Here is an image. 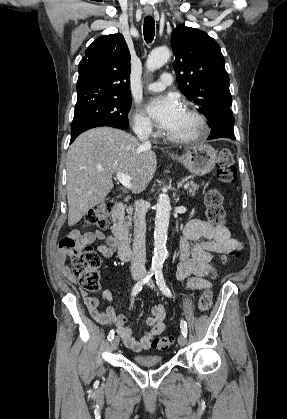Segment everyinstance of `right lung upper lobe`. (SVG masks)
<instances>
[{
	"instance_id": "right-lung-upper-lobe-1",
	"label": "right lung upper lobe",
	"mask_w": 287,
	"mask_h": 419,
	"mask_svg": "<svg viewBox=\"0 0 287 419\" xmlns=\"http://www.w3.org/2000/svg\"><path fill=\"white\" fill-rule=\"evenodd\" d=\"M129 74L130 52L124 37L119 33L98 37L79 64L75 108L130 97Z\"/></svg>"
}]
</instances>
